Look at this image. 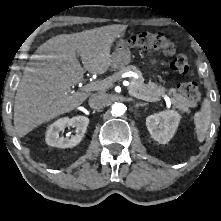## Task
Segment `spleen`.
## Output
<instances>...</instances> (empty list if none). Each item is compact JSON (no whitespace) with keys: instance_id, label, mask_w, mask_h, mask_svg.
<instances>
[{"instance_id":"spleen-1","label":"spleen","mask_w":221,"mask_h":221,"mask_svg":"<svg viewBox=\"0 0 221 221\" xmlns=\"http://www.w3.org/2000/svg\"><path fill=\"white\" fill-rule=\"evenodd\" d=\"M211 106L207 99H204L201 105V110L194 115V125L197 139L203 142L210 125Z\"/></svg>"}]
</instances>
